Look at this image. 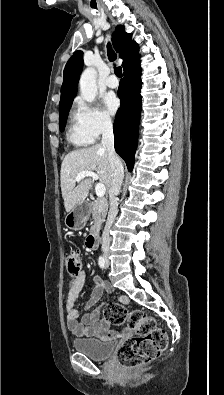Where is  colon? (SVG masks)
<instances>
[{"label": "colon", "mask_w": 224, "mask_h": 395, "mask_svg": "<svg viewBox=\"0 0 224 395\" xmlns=\"http://www.w3.org/2000/svg\"><path fill=\"white\" fill-rule=\"evenodd\" d=\"M67 271L78 275L82 259L71 252L66 258ZM104 318L113 325L126 324L136 336L123 342L117 349V360L129 368L141 367L161 355L167 346V334L156 321L142 311H128L123 305L110 302L104 308Z\"/></svg>", "instance_id": "5ec220e1"}]
</instances>
